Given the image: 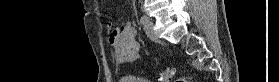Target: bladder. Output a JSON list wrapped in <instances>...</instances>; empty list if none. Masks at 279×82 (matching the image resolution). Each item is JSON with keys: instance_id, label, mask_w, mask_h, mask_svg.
Instances as JSON below:
<instances>
[{"instance_id": "31cf9c89", "label": "bladder", "mask_w": 279, "mask_h": 82, "mask_svg": "<svg viewBox=\"0 0 279 82\" xmlns=\"http://www.w3.org/2000/svg\"><path fill=\"white\" fill-rule=\"evenodd\" d=\"M120 82H150V81L145 78L128 75V76L122 77Z\"/></svg>"}]
</instances>
